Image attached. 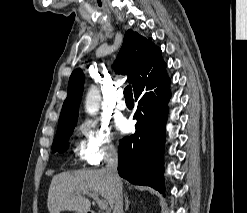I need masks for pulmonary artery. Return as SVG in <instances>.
<instances>
[{
    "label": "pulmonary artery",
    "instance_id": "obj_1",
    "mask_svg": "<svg viewBox=\"0 0 247 213\" xmlns=\"http://www.w3.org/2000/svg\"><path fill=\"white\" fill-rule=\"evenodd\" d=\"M115 107L121 111H124L127 108V104H126L125 100L123 99V92L121 90L118 91L116 94Z\"/></svg>",
    "mask_w": 247,
    "mask_h": 213
}]
</instances>
